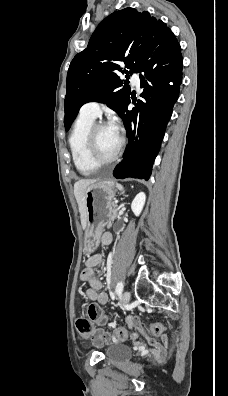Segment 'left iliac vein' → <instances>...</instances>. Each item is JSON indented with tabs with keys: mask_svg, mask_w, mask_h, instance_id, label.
Masks as SVG:
<instances>
[{
	"mask_svg": "<svg viewBox=\"0 0 228 396\" xmlns=\"http://www.w3.org/2000/svg\"><path fill=\"white\" fill-rule=\"evenodd\" d=\"M131 294L129 291H124L122 294V302L123 304H128L130 301Z\"/></svg>",
	"mask_w": 228,
	"mask_h": 396,
	"instance_id": "1",
	"label": "left iliac vein"
}]
</instances>
